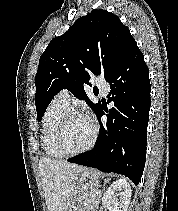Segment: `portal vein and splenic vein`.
<instances>
[{"label":"portal vein and splenic vein","mask_w":178,"mask_h":211,"mask_svg":"<svg viewBox=\"0 0 178 211\" xmlns=\"http://www.w3.org/2000/svg\"><path fill=\"white\" fill-rule=\"evenodd\" d=\"M97 194L99 195V194H101V192L100 191H97Z\"/></svg>","instance_id":"1"}]
</instances>
